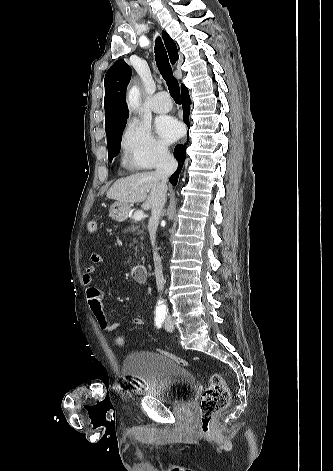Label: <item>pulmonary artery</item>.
I'll return each mask as SVG.
<instances>
[{
	"label": "pulmonary artery",
	"instance_id": "e3ab8cb5",
	"mask_svg": "<svg viewBox=\"0 0 333 471\" xmlns=\"http://www.w3.org/2000/svg\"><path fill=\"white\" fill-rule=\"evenodd\" d=\"M151 107L156 113H166L172 109V102L165 92H159L154 95Z\"/></svg>",
	"mask_w": 333,
	"mask_h": 471
}]
</instances>
